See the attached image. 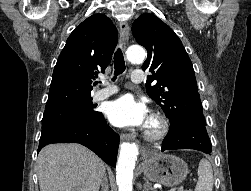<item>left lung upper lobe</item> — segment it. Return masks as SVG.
Listing matches in <instances>:
<instances>
[{"label": "left lung upper lobe", "instance_id": "5c2ea615", "mask_svg": "<svg viewBox=\"0 0 251 191\" xmlns=\"http://www.w3.org/2000/svg\"><path fill=\"white\" fill-rule=\"evenodd\" d=\"M132 33L148 51L142 66L152 73L146 91L166 113L170 130L189 121L206 124L192 62L175 32L154 14H142Z\"/></svg>", "mask_w": 251, "mask_h": 191}]
</instances>
